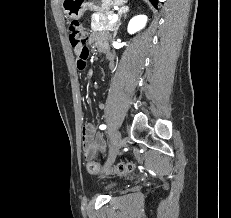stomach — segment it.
Instances as JSON below:
<instances>
[{"mask_svg":"<svg viewBox=\"0 0 231 218\" xmlns=\"http://www.w3.org/2000/svg\"><path fill=\"white\" fill-rule=\"evenodd\" d=\"M126 0H62V8L68 19H79L87 9L99 13L108 12L112 6H122Z\"/></svg>","mask_w":231,"mask_h":218,"instance_id":"stomach-1","label":"stomach"}]
</instances>
